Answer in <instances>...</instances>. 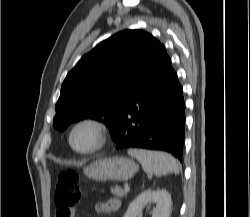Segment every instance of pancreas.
Segmentation results:
<instances>
[{"label":"pancreas","instance_id":"pancreas-1","mask_svg":"<svg viewBox=\"0 0 250 217\" xmlns=\"http://www.w3.org/2000/svg\"><path fill=\"white\" fill-rule=\"evenodd\" d=\"M111 193L117 197H123V196H126L127 194V191L123 190L122 188L116 186V187H112L110 189Z\"/></svg>","mask_w":250,"mask_h":217}]
</instances>
